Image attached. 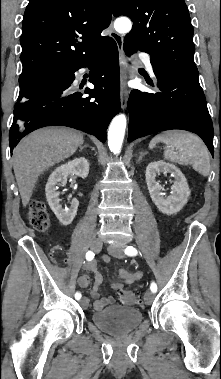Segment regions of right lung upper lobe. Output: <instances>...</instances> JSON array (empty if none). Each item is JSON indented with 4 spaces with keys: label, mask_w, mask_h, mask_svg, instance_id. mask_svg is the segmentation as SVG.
Segmentation results:
<instances>
[{
    "label": "right lung upper lobe",
    "mask_w": 221,
    "mask_h": 379,
    "mask_svg": "<svg viewBox=\"0 0 221 379\" xmlns=\"http://www.w3.org/2000/svg\"><path fill=\"white\" fill-rule=\"evenodd\" d=\"M111 0H30L22 35L19 81L95 54L109 39Z\"/></svg>",
    "instance_id": "obj_1"
}]
</instances>
